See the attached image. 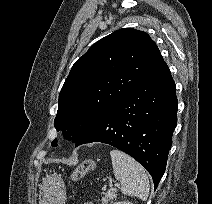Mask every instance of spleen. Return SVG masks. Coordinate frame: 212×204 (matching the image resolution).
Masks as SVG:
<instances>
[{
  "mask_svg": "<svg viewBox=\"0 0 212 204\" xmlns=\"http://www.w3.org/2000/svg\"><path fill=\"white\" fill-rule=\"evenodd\" d=\"M115 178L120 181L125 195L135 196L145 201L149 196V179L145 169L132 157L122 151H110Z\"/></svg>",
  "mask_w": 212,
  "mask_h": 204,
  "instance_id": "obj_1",
  "label": "spleen"
}]
</instances>
